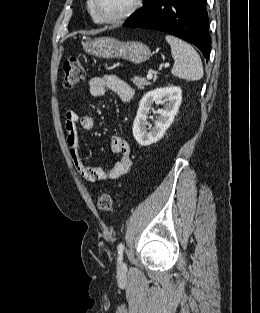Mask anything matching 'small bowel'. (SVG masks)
Instances as JSON below:
<instances>
[{
  "instance_id": "obj_1",
  "label": "small bowel",
  "mask_w": 260,
  "mask_h": 313,
  "mask_svg": "<svg viewBox=\"0 0 260 313\" xmlns=\"http://www.w3.org/2000/svg\"><path fill=\"white\" fill-rule=\"evenodd\" d=\"M89 93L93 97H102L107 90L113 91L122 103H128L133 95V88L115 75L95 76L89 80ZM93 126V118L89 114L79 115L74 110L65 113L66 142L69 154L74 162L78 174L87 182H107L117 180L125 176L132 164L131 148L127 140L121 136H114L111 141L114 153L119 157L115 165L109 170L86 164L79 154L78 128L90 129Z\"/></svg>"
}]
</instances>
